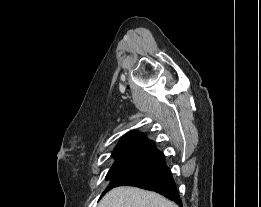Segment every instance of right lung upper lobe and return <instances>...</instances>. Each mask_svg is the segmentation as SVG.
<instances>
[{
  "mask_svg": "<svg viewBox=\"0 0 261 207\" xmlns=\"http://www.w3.org/2000/svg\"><path fill=\"white\" fill-rule=\"evenodd\" d=\"M116 161L149 160L164 163V155L156 149L153 142L140 132H128L115 147L113 153Z\"/></svg>",
  "mask_w": 261,
  "mask_h": 207,
  "instance_id": "obj_1",
  "label": "right lung upper lobe"
}]
</instances>
